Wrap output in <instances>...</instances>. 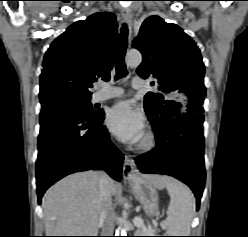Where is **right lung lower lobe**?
<instances>
[{
	"label": "right lung lower lobe",
	"mask_w": 248,
	"mask_h": 237,
	"mask_svg": "<svg viewBox=\"0 0 248 237\" xmlns=\"http://www.w3.org/2000/svg\"><path fill=\"white\" fill-rule=\"evenodd\" d=\"M103 119L104 112H40L38 202L52 184L74 172L104 169L113 179L121 180L123 154L111 143L106 127L102 126Z\"/></svg>",
	"instance_id": "98d812e1"
}]
</instances>
